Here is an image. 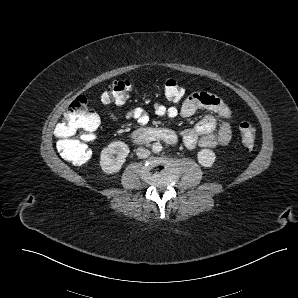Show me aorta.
Instances as JSON below:
<instances>
[{"mask_svg": "<svg viewBox=\"0 0 298 298\" xmlns=\"http://www.w3.org/2000/svg\"><path fill=\"white\" fill-rule=\"evenodd\" d=\"M152 152L158 153L162 150V144L160 142H155L151 145Z\"/></svg>", "mask_w": 298, "mask_h": 298, "instance_id": "1", "label": "aorta"}]
</instances>
